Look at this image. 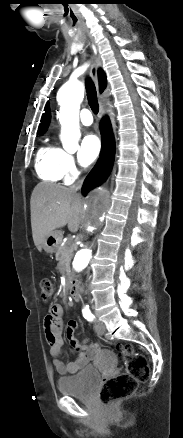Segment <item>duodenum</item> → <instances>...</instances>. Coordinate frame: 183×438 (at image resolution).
<instances>
[{"mask_svg":"<svg viewBox=\"0 0 183 438\" xmlns=\"http://www.w3.org/2000/svg\"><path fill=\"white\" fill-rule=\"evenodd\" d=\"M69 294L71 298L75 301L79 300L80 298V289L77 282L72 281L69 285Z\"/></svg>","mask_w":183,"mask_h":438,"instance_id":"1","label":"duodenum"}]
</instances>
